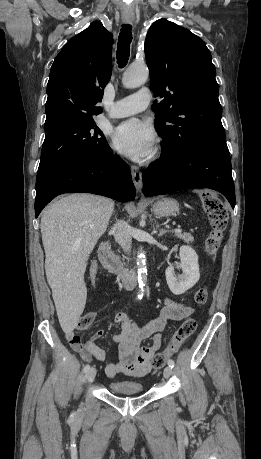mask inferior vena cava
<instances>
[{"label":"inferior vena cava","instance_id":"obj_1","mask_svg":"<svg viewBox=\"0 0 261 459\" xmlns=\"http://www.w3.org/2000/svg\"><path fill=\"white\" fill-rule=\"evenodd\" d=\"M112 232L114 233L115 240L122 247V249L129 253L132 243L129 232V225L123 220L118 221L112 228Z\"/></svg>","mask_w":261,"mask_h":459}]
</instances>
